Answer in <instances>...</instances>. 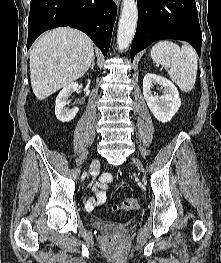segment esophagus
Listing matches in <instances>:
<instances>
[{"instance_id": "esophagus-1", "label": "esophagus", "mask_w": 221, "mask_h": 263, "mask_svg": "<svg viewBox=\"0 0 221 263\" xmlns=\"http://www.w3.org/2000/svg\"><path fill=\"white\" fill-rule=\"evenodd\" d=\"M114 2L116 3L117 6H119L120 0H114Z\"/></svg>"}]
</instances>
